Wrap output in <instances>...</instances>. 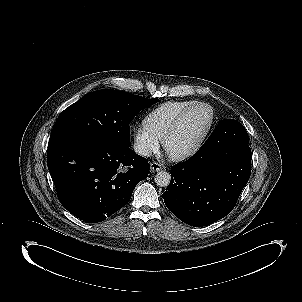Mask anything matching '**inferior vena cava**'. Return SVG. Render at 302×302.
<instances>
[{
  "instance_id": "1",
  "label": "inferior vena cava",
  "mask_w": 302,
  "mask_h": 302,
  "mask_svg": "<svg viewBox=\"0 0 302 302\" xmlns=\"http://www.w3.org/2000/svg\"><path fill=\"white\" fill-rule=\"evenodd\" d=\"M134 150L137 154L145 156V157H150L152 155V150L149 147H147L141 143L135 144Z\"/></svg>"
}]
</instances>
